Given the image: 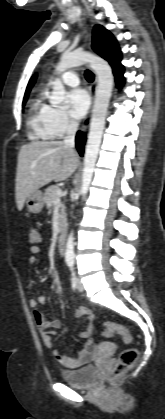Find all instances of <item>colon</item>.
<instances>
[{
	"label": "colon",
	"instance_id": "5ec220e1",
	"mask_svg": "<svg viewBox=\"0 0 165 419\" xmlns=\"http://www.w3.org/2000/svg\"><path fill=\"white\" fill-rule=\"evenodd\" d=\"M29 239L32 243H37L39 241L37 233L31 231L29 233ZM102 333L104 336L109 337L113 334H117L122 337L123 341L126 344H130L132 342V335L130 331L117 323L108 322L103 325ZM139 351L135 347H128L124 349L120 354L118 359L116 360L112 371L109 375V379L111 381L120 378L124 375L127 371H129L133 365L136 363L138 359Z\"/></svg>",
	"mask_w": 165,
	"mask_h": 419
}]
</instances>
